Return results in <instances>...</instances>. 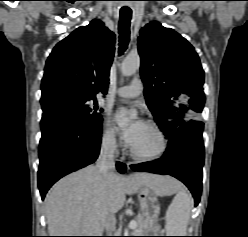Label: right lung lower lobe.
<instances>
[{"label":"right lung lower lobe","mask_w":248,"mask_h":237,"mask_svg":"<svg viewBox=\"0 0 248 237\" xmlns=\"http://www.w3.org/2000/svg\"><path fill=\"white\" fill-rule=\"evenodd\" d=\"M38 187L42 200L61 177L93 163L99 154L102 122L81 123L63 118H42ZM120 173L126 165L116 164Z\"/></svg>","instance_id":"98d812e1"}]
</instances>
